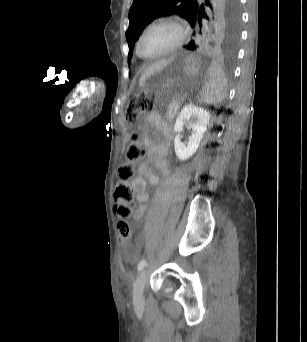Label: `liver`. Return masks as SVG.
<instances>
[{"mask_svg":"<svg viewBox=\"0 0 307 342\" xmlns=\"http://www.w3.org/2000/svg\"><path fill=\"white\" fill-rule=\"evenodd\" d=\"M170 60H159V62H155V64H151L143 74H141V78L139 80L140 86H143L145 84L146 78H149V76H152V74H155V72H160V70H163V68H166L168 66Z\"/></svg>","mask_w":307,"mask_h":342,"instance_id":"1","label":"liver"}]
</instances>
